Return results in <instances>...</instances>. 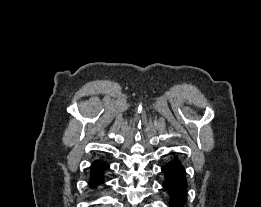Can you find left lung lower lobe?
I'll return each instance as SVG.
<instances>
[{
    "instance_id": "0a47b994",
    "label": "left lung lower lobe",
    "mask_w": 261,
    "mask_h": 207,
    "mask_svg": "<svg viewBox=\"0 0 261 207\" xmlns=\"http://www.w3.org/2000/svg\"><path fill=\"white\" fill-rule=\"evenodd\" d=\"M161 171L164 175L162 186L170 195V207H183L187 198V183L181 160L175 155L170 162L162 166Z\"/></svg>"
}]
</instances>
